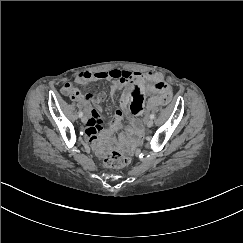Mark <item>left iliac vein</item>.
<instances>
[{
	"mask_svg": "<svg viewBox=\"0 0 243 243\" xmlns=\"http://www.w3.org/2000/svg\"><path fill=\"white\" fill-rule=\"evenodd\" d=\"M153 120L152 119H149V120H147L146 121V126L148 127V128H150V127H152L153 126Z\"/></svg>",
	"mask_w": 243,
	"mask_h": 243,
	"instance_id": "left-iliac-vein-1",
	"label": "left iliac vein"
}]
</instances>
